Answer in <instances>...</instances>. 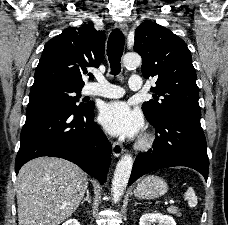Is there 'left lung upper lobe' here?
<instances>
[{"label":"left lung upper lobe","instance_id":"5c2ea615","mask_svg":"<svg viewBox=\"0 0 228 225\" xmlns=\"http://www.w3.org/2000/svg\"><path fill=\"white\" fill-rule=\"evenodd\" d=\"M134 50L142 57L141 71L145 78L156 77L151 92L163 96L143 103L149 122L162 116L179 113L201 116L196 72L186 43L167 28L153 22L141 23L135 31Z\"/></svg>","mask_w":228,"mask_h":225}]
</instances>
